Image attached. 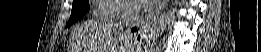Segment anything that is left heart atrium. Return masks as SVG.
I'll return each mask as SVG.
<instances>
[{
    "instance_id": "obj_1",
    "label": "left heart atrium",
    "mask_w": 261,
    "mask_h": 52,
    "mask_svg": "<svg viewBox=\"0 0 261 52\" xmlns=\"http://www.w3.org/2000/svg\"><path fill=\"white\" fill-rule=\"evenodd\" d=\"M155 0H133V3L142 9H149L152 8L155 4Z\"/></svg>"
}]
</instances>
